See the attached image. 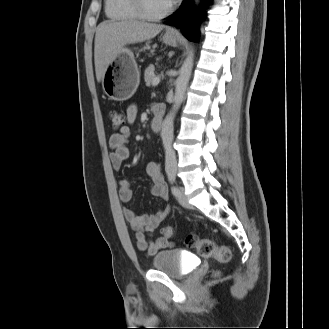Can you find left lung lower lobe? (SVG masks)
I'll return each mask as SVG.
<instances>
[{"label":"left lung lower lobe","mask_w":329,"mask_h":329,"mask_svg":"<svg viewBox=\"0 0 329 329\" xmlns=\"http://www.w3.org/2000/svg\"><path fill=\"white\" fill-rule=\"evenodd\" d=\"M194 10L193 0H185L183 8L172 15L173 19L165 23L178 27L186 38L193 41L199 22V17H195Z\"/></svg>","instance_id":"1"}]
</instances>
